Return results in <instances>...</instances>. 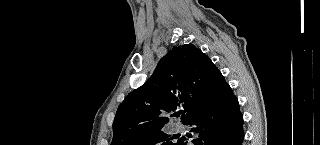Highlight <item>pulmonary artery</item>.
<instances>
[{
  "mask_svg": "<svg viewBox=\"0 0 320 145\" xmlns=\"http://www.w3.org/2000/svg\"><path fill=\"white\" fill-rule=\"evenodd\" d=\"M173 129L175 132H183L184 131V126L182 124L176 123L173 126Z\"/></svg>",
  "mask_w": 320,
  "mask_h": 145,
  "instance_id": "1",
  "label": "pulmonary artery"
}]
</instances>
